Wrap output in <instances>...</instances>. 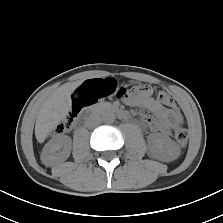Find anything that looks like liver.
I'll return each instance as SVG.
<instances>
[{"label":"liver","instance_id":"6515ba94","mask_svg":"<svg viewBox=\"0 0 223 223\" xmlns=\"http://www.w3.org/2000/svg\"><path fill=\"white\" fill-rule=\"evenodd\" d=\"M80 84L81 82L63 84L43 103L35 124V136L39 143H43L59 122L67 117L71 109V93Z\"/></svg>","mask_w":223,"mask_h":223}]
</instances>
